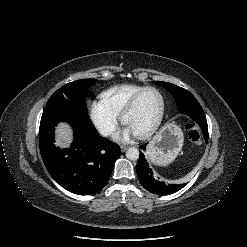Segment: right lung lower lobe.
<instances>
[{"instance_id":"obj_1","label":"right lung lower lobe","mask_w":247,"mask_h":247,"mask_svg":"<svg viewBox=\"0 0 247 247\" xmlns=\"http://www.w3.org/2000/svg\"><path fill=\"white\" fill-rule=\"evenodd\" d=\"M68 122L74 129L70 148L54 145V128ZM40 152L53 179L77 195L100 191L109 181L114 163L121 155L117 144L101 138L88 113L67 105H46L39 128Z\"/></svg>"}]
</instances>
